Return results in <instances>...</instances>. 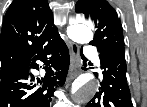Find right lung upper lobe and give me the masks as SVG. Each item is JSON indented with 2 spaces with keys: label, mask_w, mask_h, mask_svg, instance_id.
<instances>
[{
  "label": "right lung upper lobe",
  "mask_w": 147,
  "mask_h": 107,
  "mask_svg": "<svg viewBox=\"0 0 147 107\" xmlns=\"http://www.w3.org/2000/svg\"><path fill=\"white\" fill-rule=\"evenodd\" d=\"M57 36L47 0H14L3 19L0 35L1 70L22 64Z\"/></svg>",
  "instance_id": "1"
}]
</instances>
